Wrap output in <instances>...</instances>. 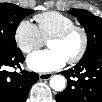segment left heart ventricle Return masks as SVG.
Wrapping results in <instances>:
<instances>
[{
    "instance_id": "left-heart-ventricle-1",
    "label": "left heart ventricle",
    "mask_w": 102,
    "mask_h": 102,
    "mask_svg": "<svg viewBox=\"0 0 102 102\" xmlns=\"http://www.w3.org/2000/svg\"><path fill=\"white\" fill-rule=\"evenodd\" d=\"M82 45V36L76 32L64 41H49L48 47L57 51L65 60L74 57L80 50Z\"/></svg>"
}]
</instances>
